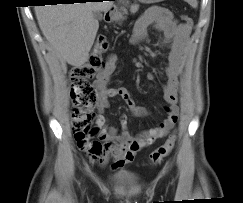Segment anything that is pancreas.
Listing matches in <instances>:
<instances>
[{
	"instance_id": "cf45deb5",
	"label": "pancreas",
	"mask_w": 243,
	"mask_h": 203,
	"mask_svg": "<svg viewBox=\"0 0 243 203\" xmlns=\"http://www.w3.org/2000/svg\"><path fill=\"white\" fill-rule=\"evenodd\" d=\"M138 9H139V5H137V4H133L130 6V12L132 14L136 13L138 11ZM122 11L123 12L119 14V18H118L119 21H123L125 19L123 14H127V11L125 9H122Z\"/></svg>"
}]
</instances>
